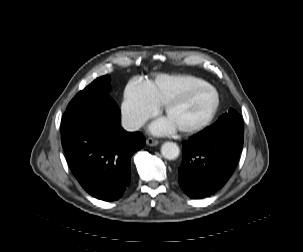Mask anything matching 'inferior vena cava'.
I'll return each mask as SVG.
<instances>
[{"instance_id": "602c4592", "label": "inferior vena cava", "mask_w": 303, "mask_h": 252, "mask_svg": "<svg viewBox=\"0 0 303 252\" xmlns=\"http://www.w3.org/2000/svg\"><path fill=\"white\" fill-rule=\"evenodd\" d=\"M144 122L142 120L132 118L129 116H124L122 118V127L129 132L137 131L143 126Z\"/></svg>"}]
</instances>
